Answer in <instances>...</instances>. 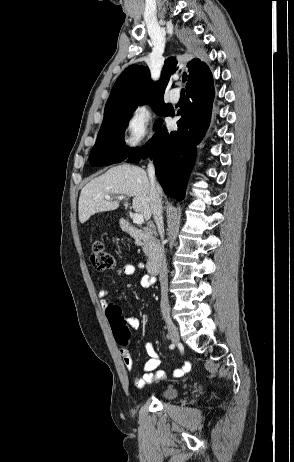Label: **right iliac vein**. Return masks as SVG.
Returning <instances> with one entry per match:
<instances>
[{
  "instance_id": "63e3f726",
  "label": "right iliac vein",
  "mask_w": 294,
  "mask_h": 462,
  "mask_svg": "<svg viewBox=\"0 0 294 462\" xmlns=\"http://www.w3.org/2000/svg\"><path fill=\"white\" fill-rule=\"evenodd\" d=\"M165 322H166L167 330H168V333H169V336L172 342L178 345L180 342V339H179V333H178V329L176 325L169 317H165Z\"/></svg>"
}]
</instances>
